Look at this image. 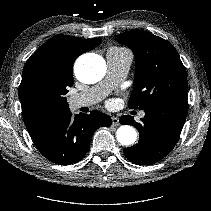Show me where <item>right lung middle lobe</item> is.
Wrapping results in <instances>:
<instances>
[{
	"mask_svg": "<svg viewBox=\"0 0 211 211\" xmlns=\"http://www.w3.org/2000/svg\"><path fill=\"white\" fill-rule=\"evenodd\" d=\"M32 95L42 103L58 104L63 103L68 106L65 95L68 93L67 84L60 83L52 77L39 73L30 82Z\"/></svg>",
	"mask_w": 211,
	"mask_h": 211,
	"instance_id": "dd1d6c3e",
	"label": "right lung middle lobe"
}]
</instances>
